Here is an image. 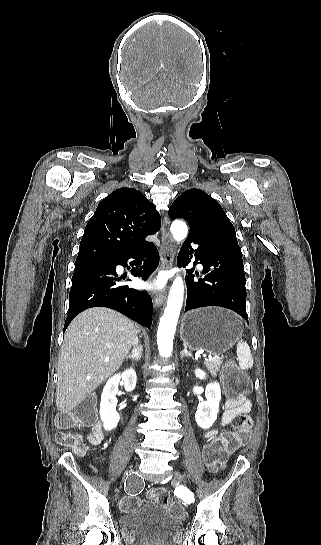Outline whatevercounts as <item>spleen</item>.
Returning a JSON list of instances; mask_svg holds the SVG:
<instances>
[{"mask_svg":"<svg viewBox=\"0 0 321 545\" xmlns=\"http://www.w3.org/2000/svg\"><path fill=\"white\" fill-rule=\"evenodd\" d=\"M237 357L239 361V367L242 371H247L253 367V357L251 355L250 347L245 341H240L237 345Z\"/></svg>","mask_w":321,"mask_h":545,"instance_id":"obj_1","label":"spleen"}]
</instances>
